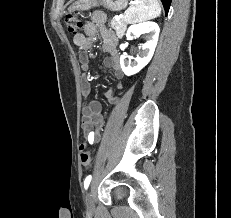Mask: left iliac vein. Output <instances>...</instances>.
Segmentation results:
<instances>
[{"mask_svg": "<svg viewBox=\"0 0 231 218\" xmlns=\"http://www.w3.org/2000/svg\"><path fill=\"white\" fill-rule=\"evenodd\" d=\"M85 202H86L88 211L93 212L95 209V206H94L92 187H90L88 192L86 193Z\"/></svg>", "mask_w": 231, "mask_h": 218, "instance_id": "obj_1", "label": "left iliac vein"}]
</instances>
